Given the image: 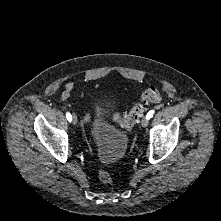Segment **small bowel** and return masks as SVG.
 I'll use <instances>...</instances> for the list:
<instances>
[{
  "label": "small bowel",
  "mask_w": 221,
  "mask_h": 221,
  "mask_svg": "<svg viewBox=\"0 0 221 221\" xmlns=\"http://www.w3.org/2000/svg\"><path fill=\"white\" fill-rule=\"evenodd\" d=\"M164 85H167L164 83ZM74 89V83L68 82L65 84L64 91L62 93L61 99L62 101H67L71 96V91Z\"/></svg>",
  "instance_id": "c3829d8e"
}]
</instances>
